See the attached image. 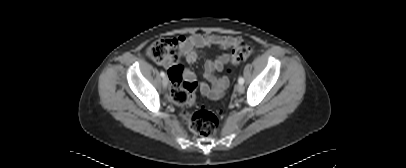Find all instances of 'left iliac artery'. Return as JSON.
<instances>
[{
	"label": "left iliac artery",
	"mask_w": 406,
	"mask_h": 168,
	"mask_svg": "<svg viewBox=\"0 0 406 168\" xmlns=\"http://www.w3.org/2000/svg\"><path fill=\"white\" fill-rule=\"evenodd\" d=\"M238 82H239L240 84H244V78H243V77H239Z\"/></svg>",
	"instance_id": "44dca946"
}]
</instances>
